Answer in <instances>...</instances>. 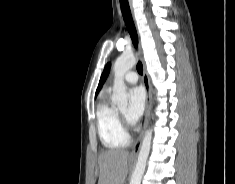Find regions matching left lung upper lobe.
Listing matches in <instances>:
<instances>
[{
  "label": "left lung upper lobe",
  "mask_w": 235,
  "mask_h": 184,
  "mask_svg": "<svg viewBox=\"0 0 235 184\" xmlns=\"http://www.w3.org/2000/svg\"><path fill=\"white\" fill-rule=\"evenodd\" d=\"M109 71H110V63H108L104 70H103V73L101 75V78H100V81H99V85L97 87V90H96V95L98 94V92L100 91V89L102 88L104 82L106 81L108 75H109Z\"/></svg>",
  "instance_id": "1"
}]
</instances>
